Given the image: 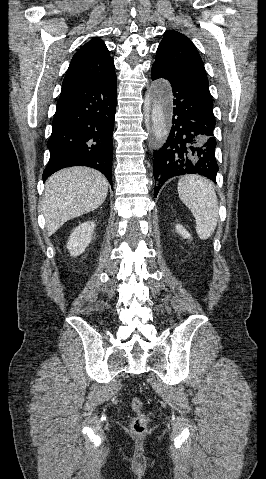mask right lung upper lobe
<instances>
[{"mask_svg":"<svg viewBox=\"0 0 266 479\" xmlns=\"http://www.w3.org/2000/svg\"><path fill=\"white\" fill-rule=\"evenodd\" d=\"M115 76V67L105 43L93 38L73 56L62 88L76 87L108 80Z\"/></svg>","mask_w":266,"mask_h":479,"instance_id":"cb5924a9","label":"right lung upper lobe"}]
</instances>
